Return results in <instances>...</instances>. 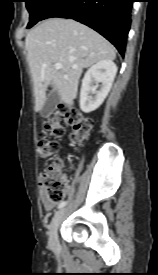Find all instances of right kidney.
I'll use <instances>...</instances> for the list:
<instances>
[{"instance_id": "ca27d5eb", "label": "right kidney", "mask_w": 158, "mask_h": 275, "mask_svg": "<svg viewBox=\"0 0 158 275\" xmlns=\"http://www.w3.org/2000/svg\"><path fill=\"white\" fill-rule=\"evenodd\" d=\"M116 73L117 66L111 60L99 61L87 70L80 92V108L83 112L90 113L99 108L112 87Z\"/></svg>"}]
</instances>
